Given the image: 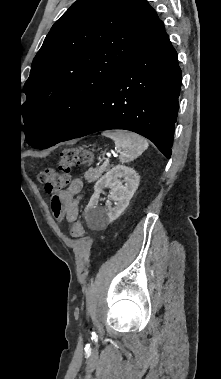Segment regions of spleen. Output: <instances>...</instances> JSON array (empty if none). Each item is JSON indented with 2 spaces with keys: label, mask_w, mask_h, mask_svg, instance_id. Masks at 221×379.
Returning <instances> with one entry per match:
<instances>
[{
  "label": "spleen",
  "mask_w": 221,
  "mask_h": 379,
  "mask_svg": "<svg viewBox=\"0 0 221 379\" xmlns=\"http://www.w3.org/2000/svg\"><path fill=\"white\" fill-rule=\"evenodd\" d=\"M102 135L114 141L120 153L119 161L121 163H128L135 160L148 148L147 140L133 132L117 130L113 132H103Z\"/></svg>",
  "instance_id": "3e777b00"
}]
</instances>
